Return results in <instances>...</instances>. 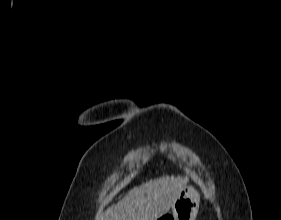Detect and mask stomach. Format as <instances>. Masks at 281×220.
<instances>
[{
	"label": "stomach",
	"mask_w": 281,
	"mask_h": 220,
	"mask_svg": "<svg viewBox=\"0 0 281 220\" xmlns=\"http://www.w3.org/2000/svg\"><path fill=\"white\" fill-rule=\"evenodd\" d=\"M200 196L192 186H186L172 206V214L160 220H195L199 209Z\"/></svg>",
	"instance_id": "obj_1"
}]
</instances>
